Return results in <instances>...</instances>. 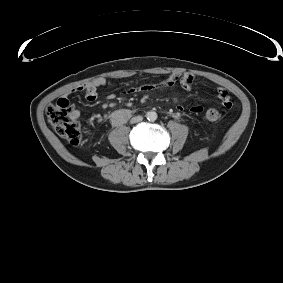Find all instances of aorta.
<instances>
[{"mask_svg":"<svg viewBox=\"0 0 283 283\" xmlns=\"http://www.w3.org/2000/svg\"><path fill=\"white\" fill-rule=\"evenodd\" d=\"M157 113L155 111H149L146 113V118L151 121L154 122L157 119Z\"/></svg>","mask_w":283,"mask_h":283,"instance_id":"obj_1","label":"aorta"}]
</instances>
